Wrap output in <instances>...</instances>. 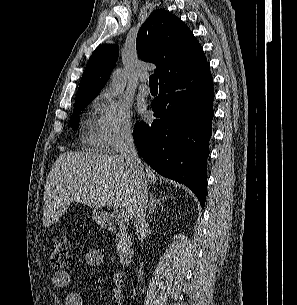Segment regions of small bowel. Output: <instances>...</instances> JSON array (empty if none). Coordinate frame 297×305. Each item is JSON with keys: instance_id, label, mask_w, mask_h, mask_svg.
<instances>
[{"instance_id": "small-bowel-1", "label": "small bowel", "mask_w": 297, "mask_h": 305, "mask_svg": "<svg viewBox=\"0 0 297 305\" xmlns=\"http://www.w3.org/2000/svg\"><path fill=\"white\" fill-rule=\"evenodd\" d=\"M84 263L89 268H97L103 263V255L98 250H90L84 257ZM113 281L116 287L112 291L113 305H124V293L121 286L125 282L124 272L118 270L113 273ZM71 277L66 271H56L53 274V284L59 289L70 286ZM66 305H83V299L77 291H69L65 297Z\"/></svg>"}]
</instances>
